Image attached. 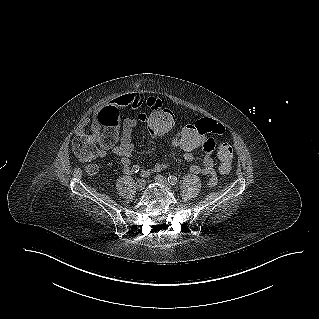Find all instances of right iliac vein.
<instances>
[{
  "mask_svg": "<svg viewBox=\"0 0 319 319\" xmlns=\"http://www.w3.org/2000/svg\"><path fill=\"white\" fill-rule=\"evenodd\" d=\"M146 182L144 179H138L136 181V188L138 191H142L145 188Z\"/></svg>",
  "mask_w": 319,
  "mask_h": 319,
  "instance_id": "obj_1",
  "label": "right iliac vein"
}]
</instances>
